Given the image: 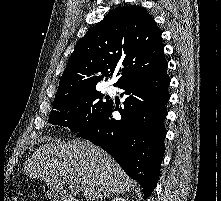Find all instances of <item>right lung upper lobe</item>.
<instances>
[{
    "label": "right lung upper lobe",
    "instance_id": "obj_1",
    "mask_svg": "<svg viewBox=\"0 0 221 201\" xmlns=\"http://www.w3.org/2000/svg\"><path fill=\"white\" fill-rule=\"evenodd\" d=\"M164 46L154 19L140 6L108 13L77 42L60 79L57 97L95 89L119 69L115 86L149 72L164 61Z\"/></svg>",
    "mask_w": 221,
    "mask_h": 201
}]
</instances>
